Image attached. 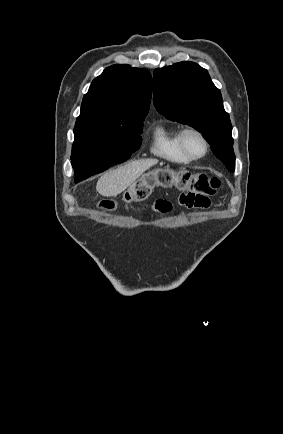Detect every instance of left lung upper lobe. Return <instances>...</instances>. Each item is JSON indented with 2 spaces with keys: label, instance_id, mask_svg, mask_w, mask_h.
Instances as JSON below:
<instances>
[{
  "label": "left lung upper lobe",
  "instance_id": "1",
  "mask_svg": "<svg viewBox=\"0 0 283 434\" xmlns=\"http://www.w3.org/2000/svg\"><path fill=\"white\" fill-rule=\"evenodd\" d=\"M153 95L160 114L201 132L214 155L230 172L235 170L229 114L206 69L189 61L158 68L154 71Z\"/></svg>",
  "mask_w": 283,
  "mask_h": 434
}]
</instances>
